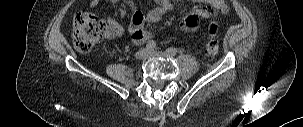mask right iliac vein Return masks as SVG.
I'll return each instance as SVG.
<instances>
[{
  "label": "right iliac vein",
  "instance_id": "obj_1",
  "mask_svg": "<svg viewBox=\"0 0 303 127\" xmlns=\"http://www.w3.org/2000/svg\"><path fill=\"white\" fill-rule=\"evenodd\" d=\"M148 57V50L147 49H141L136 53L137 59H146Z\"/></svg>",
  "mask_w": 303,
  "mask_h": 127
}]
</instances>
